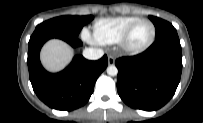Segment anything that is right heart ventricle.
Returning <instances> with one entry per match:
<instances>
[{
    "label": "right heart ventricle",
    "instance_id": "obj_1",
    "mask_svg": "<svg viewBox=\"0 0 203 123\" xmlns=\"http://www.w3.org/2000/svg\"><path fill=\"white\" fill-rule=\"evenodd\" d=\"M138 19L137 16L100 18L93 25L94 38L101 44H115L124 30Z\"/></svg>",
    "mask_w": 203,
    "mask_h": 123
}]
</instances>
